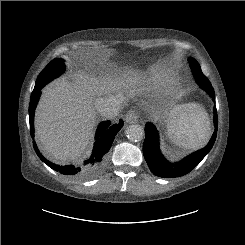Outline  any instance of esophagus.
Wrapping results in <instances>:
<instances>
[{
	"label": "esophagus",
	"instance_id": "34e87169",
	"mask_svg": "<svg viewBox=\"0 0 245 245\" xmlns=\"http://www.w3.org/2000/svg\"><path fill=\"white\" fill-rule=\"evenodd\" d=\"M139 119V115L137 114V112L135 110H130L128 111V113L125 116V121L128 124H132V123H136L138 122Z\"/></svg>",
	"mask_w": 245,
	"mask_h": 245
}]
</instances>
